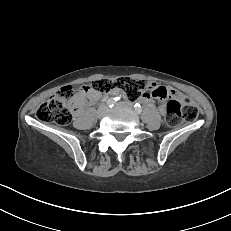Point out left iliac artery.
I'll return each instance as SVG.
<instances>
[{
    "label": "left iliac artery",
    "instance_id": "obj_1",
    "mask_svg": "<svg viewBox=\"0 0 231 231\" xmlns=\"http://www.w3.org/2000/svg\"><path fill=\"white\" fill-rule=\"evenodd\" d=\"M134 107H135V111H136L138 114H140V113L142 112V107H141V105H140L139 103H136V104L134 105Z\"/></svg>",
    "mask_w": 231,
    "mask_h": 231
}]
</instances>
